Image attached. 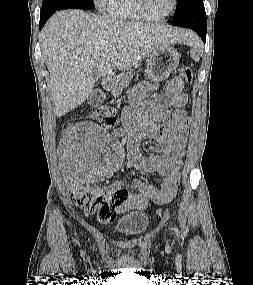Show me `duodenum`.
I'll return each instance as SVG.
<instances>
[{
	"mask_svg": "<svg viewBox=\"0 0 253 285\" xmlns=\"http://www.w3.org/2000/svg\"><path fill=\"white\" fill-rule=\"evenodd\" d=\"M102 86H103V88L108 89V88L110 87V82H109V80H107V79L103 80ZM102 98H103V96H102V93H101V92H99V91H98V92H94V93L91 95V97H90V103H91L93 106L98 107L99 104H100V102L102 101ZM99 114H100V113H99Z\"/></svg>",
	"mask_w": 253,
	"mask_h": 285,
	"instance_id": "obj_1",
	"label": "duodenum"
}]
</instances>
